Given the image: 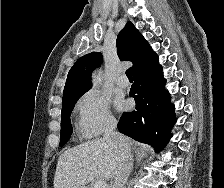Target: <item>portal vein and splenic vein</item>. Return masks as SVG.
Instances as JSON below:
<instances>
[{
  "label": "portal vein and splenic vein",
  "instance_id": "portal-vein-and-splenic-vein-1",
  "mask_svg": "<svg viewBox=\"0 0 224 188\" xmlns=\"http://www.w3.org/2000/svg\"><path fill=\"white\" fill-rule=\"evenodd\" d=\"M93 188H108V184L105 181H97L93 184Z\"/></svg>",
  "mask_w": 224,
  "mask_h": 188
}]
</instances>
